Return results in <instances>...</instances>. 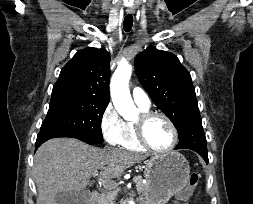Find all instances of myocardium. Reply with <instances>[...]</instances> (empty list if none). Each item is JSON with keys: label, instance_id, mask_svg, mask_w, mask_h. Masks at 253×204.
Instances as JSON below:
<instances>
[{"label": "myocardium", "instance_id": "obj_1", "mask_svg": "<svg viewBox=\"0 0 253 204\" xmlns=\"http://www.w3.org/2000/svg\"><path fill=\"white\" fill-rule=\"evenodd\" d=\"M155 118H162L164 119L168 125L171 128L173 139L171 144L165 148V149H155L153 148L149 142L146 139L145 136V127L146 125L153 119ZM135 126V131H136V136L139 144L147 151L156 153V154H167L170 153L171 151L174 150L178 143V130L173 123V121L165 114L159 113V112H144L141 114L140 119L138 122L134 124Z\"/></svg>", "mask_w": 253, "mask_h": 204}]
</instances>
